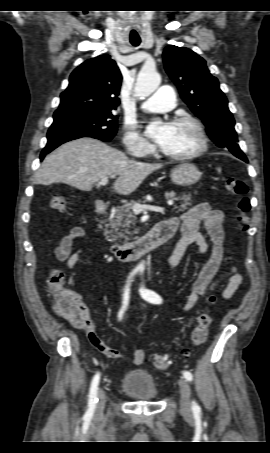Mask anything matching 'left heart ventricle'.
<instances>
[{
	"mask_svg": "<svg viewBox=\"0 0 270 453\" xmlns=\"http://www.w3.org/2000/svg\"><path fill=\"white\" fill-rule=\"evenodd\" d=\"M199 139L196 131L188 124H171V135L161 149L168 154L181 155L196 150Z\"/></svg>",
	"mask_w": 270,
	"mask_h": 453,
	"instance_id": "1",
	"label": "left heart ventricle"
}]
</instances>
